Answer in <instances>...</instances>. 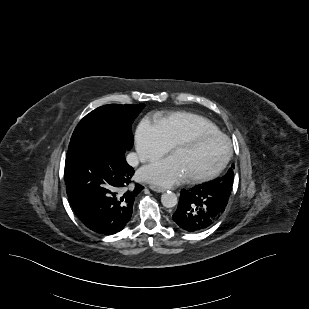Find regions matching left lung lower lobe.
<instances>
[{
    "label": "left lung lower lobe",
    "instance_id": "left-lung-lower-lobe-1",
    "mask_svg": "<svg viewBox=\"0 0 309 309\" xmlns=\"http://www.w3.org/2000/svg\"><path fill=\"white\" fill-rule=\"evenodd\" d=\"M231 190L209 184L182 190L172 219L181 230L198 233L214 225L224 213Z\"/></svg>",
    "mask_w": 309,
    "mask_h": 309
}]
</instances>
